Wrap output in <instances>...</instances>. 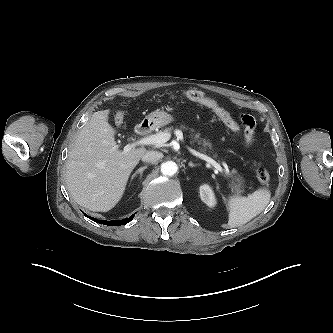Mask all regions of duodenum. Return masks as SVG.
Wrapping results in <instances>:
<instances>
[{"label": "duodenum", "instance_id": "duodenum-1", "mask_svg": "<svg viewBox=\"0 0 333 333\" xmlns=\"http://www.w3.org/2000/svg\"><path fill=\"white\" fill-rule=\"evenodd\" d=\"M148 130L149 126L147 123H141L135 129L137 134H145L146 132H148Z\"/></svg>", "mask_w": 333, "mask_h": 333}]
</instances>
